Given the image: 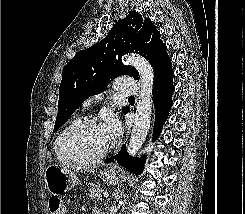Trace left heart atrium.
<instances>
[{"instance_id":"left-heart-atrium-1","label":"left heart atrium","mask_w":245,"mask_h":214,"mask_svg":"<svg viewBox=\"0 0 245 214\" xmlns=\"http://www.w3.org/2000/svg\"><path fill=\"white\" fill-rule=\"evenodd\" d=\"M100 128L109 145L115 143L121 134V125L115 117H107Z\"/></svg>"}]
</instances>
